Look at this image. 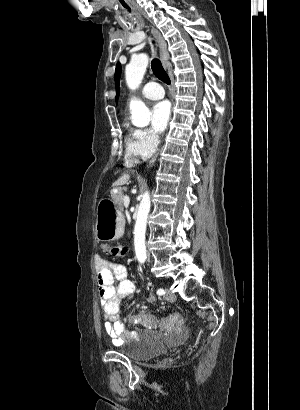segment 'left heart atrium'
<instances>
[{
  "mask_svg": "<svg viewBox=\"0 0 300 410\" xmlns=\"http://www.w3.org/2000/svg\"><path fill=\"white\" fill-rule=\"evenodd\" d=\"M171 106L167 101H161L152 109V125L156 132L163 133L170 121Z\"/></svg>",
  "mask_w": 300,
  "mask_h": 410,
  "instance_id": "left-heart-atrium-1",
  "label": "left heart atrium"
}]
</instances>
